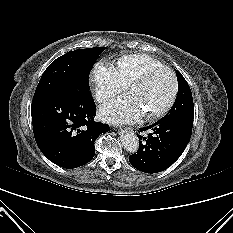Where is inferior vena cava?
Masks as SVG:
<instances>
[{
	"label": "inferior vena cava",
	"mask_w": 233,
	"mask_h": 233,
	"mask_svg": "<svg viewBox=\"0 0 233 233\" xmlns=\"http://www.w3.org/2000/svg\"><path fill=\"white\" fill-rule=\"evenodd\" d=\"M107 97H108V95L105 93H97L96 94V99L98 102L104 101Z\"/></svg>",
	"instance_id": "obj_1"
}]
</instances>
